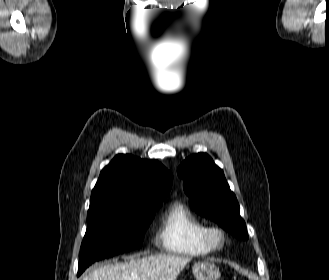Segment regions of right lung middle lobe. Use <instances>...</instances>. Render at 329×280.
I'll list each match as a JSON object with an SVG mask.
<instances>
[{
  "mask_svg": "<svg viewBox=\"0 0 329 280\" xmlns=\"http://www.w3.org/2000/svg\"><path fill=\"white\" fill-rule=\"evenodd\" d=\"M162 200L110 201L87 214L78 276L93 262L138 248Z\"/></svg>",
  "mask_w": 329,
  "mask_h": 280,
  "instance_id": "obj_1",
  "label": "right lung middle lobe"
}]
</instances>
